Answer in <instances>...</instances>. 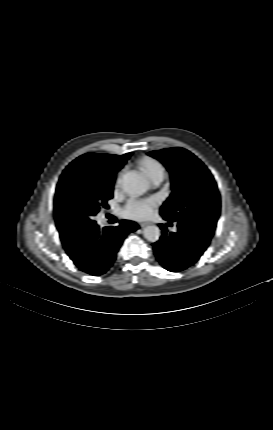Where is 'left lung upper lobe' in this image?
<instances>
[{
	"label": "left lung upper lobe",
	"mask_w": 273,
	"mask_h": 430,
	"mask_svg": "<svg viewBox=\"0 0 273 430\" xmlns=\"http://www.w3.org/2000/svg\"><path fill=\"white\" fill-rule=\"evenodd\" d=\"M150 156L161 161L172 178V193L160 209V214L194 228L210 242L220 214V194L207 167L183 148L152 151ZM205 209L209 215L202 218Z\"/></svg>",
	"instance_id": "5c2ea615"
}]
</instances>
